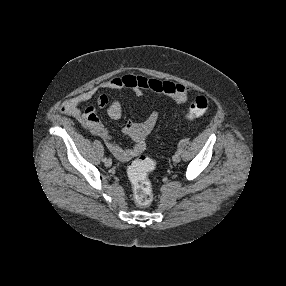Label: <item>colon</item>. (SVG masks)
<instances>
[{"label": "colon", "mask_w": 286, "mask_h": 286, "mask_svg": "<svg viewBox=\"0 0 286 286\" xmlns=\"http://www.w3.org/2000/svg\"><path fill=\"white\" fill-rule=\"evenodd\" d=\"M208 104L206 96H197L189 105L186 118L192 120L202 116L206 112ZM154 165L151 159L141 157L129 168L128 175L133 185L134 201L140 207H148L152 203V185L148 174L154 168Z\"/></svg>", "instance_id": "5ec220e1"}]
</instances>
